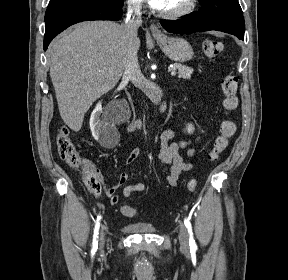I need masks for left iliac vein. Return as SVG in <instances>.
Segmentation results:
<instances>
[{
	"mask_svg": "<svg viewBox=\"0 0 288 280\" xmlns=\"http://www.w3.org/2000/svg\"><path fill=\"white\" fill-rule=\"evenodd\" d=\"M179 241L182 248L188 249L189 247L188 232L183 224H180L179 227Z\"/></svg>",
	"mask_w": 288,
	"mask_h": 280,
	"instance_id": "obj_1",
	"label": "left iliac vein"
}]
</instances>
